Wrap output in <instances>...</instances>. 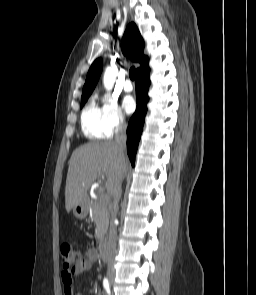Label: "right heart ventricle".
I'll return each mask as SVG.
<instances>
[{"label":"right heart ventricle","mask_w":256,"mask_h":295,"mask_svg":"<svg viewBox=\"0 0 256 295\" xmlns=\"http://www.w3.org/2000/svg\"><path fill=\"white\" fill-rule=\"evenodd\" d=\"M81 127L83 134L89 139L98 140L108 137L102 110L93 100L82 111Z\"/></svg>","instance_id":"right-heart-ventricle-1"}]
</instances>
